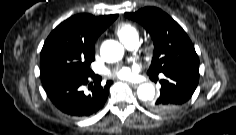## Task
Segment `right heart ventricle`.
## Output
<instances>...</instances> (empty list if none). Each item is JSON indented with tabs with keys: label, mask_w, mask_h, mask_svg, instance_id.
Wrapping results in <instances>:
<instances>
[{
	"label": "right heart ventricle",
	"mask_w": 236,
	"mask_h": 135,
	"mask_svg": "<svg viewBox=\"0 0 236 135\" xmlns=\"http://www.w3.org/2000/svg\"><path fill=\"white\" fill-rule=\"evenodd\" d=\"M115 34L121 40L122 43L126 44L131 40H138L139 32L135 25L129 22H123L118 24L115 29Z\"/></svg>",
	"instance_id": "obj_1"
}]
</instances>
